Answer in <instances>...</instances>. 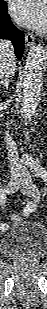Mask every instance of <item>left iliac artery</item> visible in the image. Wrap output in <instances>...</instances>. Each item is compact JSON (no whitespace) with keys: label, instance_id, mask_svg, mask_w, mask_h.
I'll return each instance as SVG.
<instances>
[{"label":"left iliac artery","instance_id":"44dca946","mask_svg":"<svg viewBox=\"0 0 47 309\" xmlns=\"http://www.w3.org/2000/svg\"><path fill=\"white\" fill-rule=\"evenodd\" d=\"M31 168L37 173V175L41 176L45 181L47 180V172L38 162H36V161L33 162L31 164ZM37 190H38V188H37ZM35 209H36L35 205H32V204L27 205L28 211H34Z\"/></svg>","mask_w":47,"mask_h":309}]
</instances>
